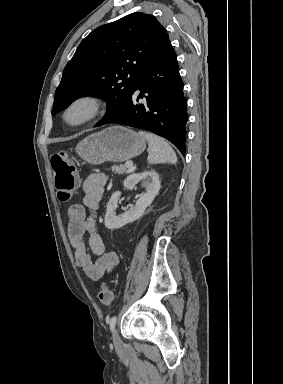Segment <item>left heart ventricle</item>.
Listing matches in <instances>:
<instances>
[{
  "mask_svg": "<svg viewBox=\"0 0 283 384\" xmlns=\"http://www.w3.org/2000/svg\"><path fill=\"white\" fill-rule=\"evenodd\" d=\"M85 115V109L83 107H78L70 112L68 118L70 121H78Z\"/></svg>",
  "mask_w": 283,
  "mask_h": 384,
  "instance_id": "left-heart-ventricle-1",
  "label": "left heart ventricle"
}]
</instances>
